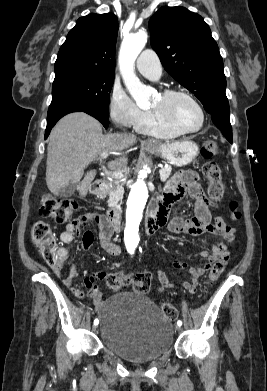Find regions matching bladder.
I'll list each match as a JSON object with an SVG mask.
<instances>
[{"mask_svg":"<svg viewBox=\"0 0 267 391\" xmlns=\"http://www.w3.org/2000/svg\"><path fill=\"white\" fill-rule=\"evenodd\" d=\"M103 346L135 363L156 360L173 346V325L154 302L137 292H118L98 309Z\"/></svg>","mask_w":267,"mask_h":391,"instance_id":"obj_1","label":"bladder"}]
</instances>
